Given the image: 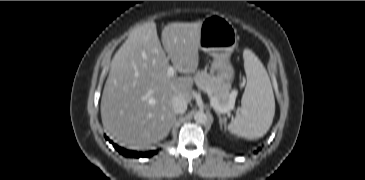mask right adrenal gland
Instances as JSON below:
<instances>
[{"instance_id":"right-adrenal-gland-1","label":"right adrenal gland","mask_w":365,"mask_h":180,"mask_svg":"<svg viewBox=\"0 0 365 180\" xmlns=\"http://www.w3.org/2000/svg\"><path fill=\"white\" fill-rule=\"evenodd\" d=\"M176 122V118H175V120H174V123ZM174 123H173V125H174Z\"/></svg>"}]
</instances>
